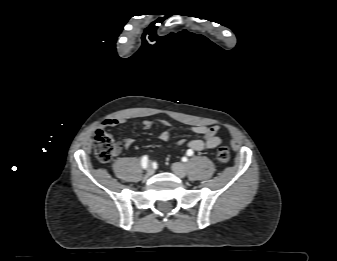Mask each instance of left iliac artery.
<instances>
[{
    "instance_id": "left-iliac-artery-1",
    "label": "left iliac artery",
    "mask_w": 337,
    "mask_h": 261,
    "mask_svg": "<svg viewBox=\"0 0 337 261\" xmlns=\"http://www.w3.org/2000/svg\"><path fill=\"white\" fill-rule=\"evenodd\" d=\"M187 155H188V156H192V155H193V151L189 149V150L187 151Z\"/></svg>"
}]
</instances>
